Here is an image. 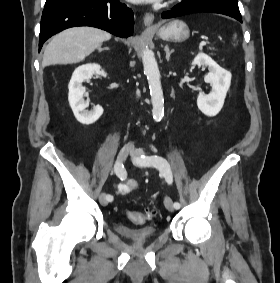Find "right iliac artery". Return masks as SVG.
<instances>
[{"instance_id":"82829eb1","label":"right iliac artery","mask_w":280,"mask_h":283,"mask_svg":"<svg viewBox=\"0 0 280 283\" xmlns=\"http://www.w3.org/2000/svg\"><path fill=\"white\" fill-rule=\"evenodd\" d=\"M114 171H115L116 175L120 178V180L123 181V180L126 179L127 172H126V169H125L123 163L116 162L115 166H114ZM106 198L109 202L113 201L112 195H107Z\"/></svg>"}]
</instances>
